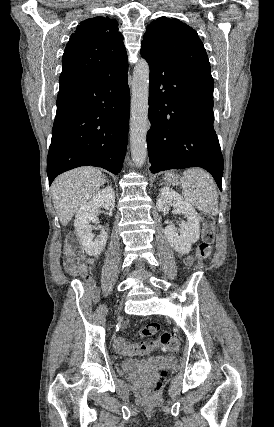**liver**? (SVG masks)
I'll list each match as a JSON object with an SVG mask.
<instances>
[{"label":"liver","instance_id":"1","mask_svg":"<svg viewBox=\"0 0 274 427\" xmlns=\"http://www.w3.org/2000/svg\"><path fill=\"white\" fill-rule=\"evenodd\" d=\"M105 182L102 172L91 166L76 168L58 176L51 190L53 206L62 225H67L79 206H84Z\"/></svg>","mask_w":274,"mask_h":427}]
</instances>
